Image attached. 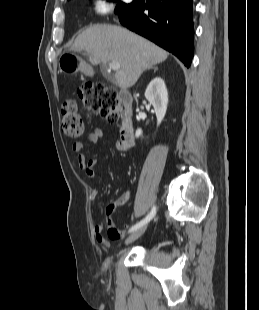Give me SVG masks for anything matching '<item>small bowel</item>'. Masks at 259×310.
<instances>
[{"label": "small bowel", "mask_w": 259, "mask_h": 310, "mask_svg": "<svg viewBox=\"0 0 259 310\" xmlns=\"http://www.w3.org/2000/svg\"><path fill=\"white\" fill-rule=\"evenodd\" d=\"M103 130L100 128L94 129L88 135V141L92 144H98L103 138ZM72 150L77 154V163L79 168H81L86 176L90 179H93L96 176L95 167L96 160L93 158H87L83 153V145L78 142L72 143ZM99 195V190L97 188L92 189L91 197L92 199H96ZM128 198V195L123 196L121 199V203H124ZM114 206L111 205L106 209V217H107V225H108V236L110 239H119L123 236L125 231H120L116 229L112 222V214L114 212ZM105 227L104 222H97L93 225V233L96 241L103 247L109 246V241L103 236V229Z\"/></svg>", "instance_id": "1"}]
</instances>
